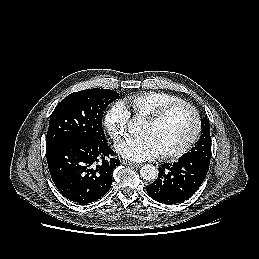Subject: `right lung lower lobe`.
<instances>
[{
	"mask_svg": "<svg viewBox=\"0 0 259 259\" xmlns=\"http://www.w3.org/2000/svg\"><path fill=\"white\" fill-rule=\"evenodd\" d=\"M113 154L107 141L68 139L46 148L55 186L64 197L79 204L94 202L108 192L113 169L120 164L119 159L107 158Z\"/></svg>",
	"mask_w": 259,
	"mask_h": 259,
	"instance_id": "obj_1",
	"label": "right lung lower lobe"
}]
</instances>
